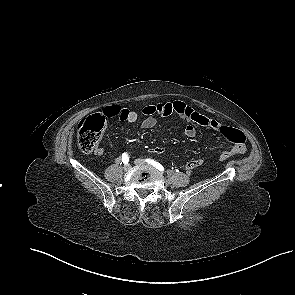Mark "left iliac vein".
Segmentation results:
<instances>
[{"label":"left iliac vein","instance_id":"1","mask_svg":"<svg viewBox=\"0 0 295 295\" xmlns=\"http://www.w3.org/2000/svg\"><path fill=\"white\" fill-rule=\"evenodd\" d=\"M134 163L136 164V165H138V166H145V165H147V162L145 161V160H143V159H136L135 161H134ZM149 164V163H148Z\"/></svg>","mask_w":295,"mask_h":295}]
</instances>
